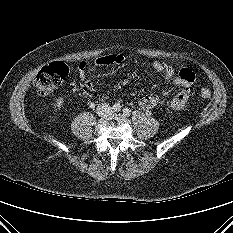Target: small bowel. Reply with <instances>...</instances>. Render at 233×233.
<instances>
[{
	"label": "small bowel",
	"instance_id": "1",
	"mask_svg": "<svg viewBox=\"0 0 233 233\" xmlns=\"http://www.w3.org/2000/svg\"><path fill=\"white\" fill-rule=\"evenodd\" d=\"M125 59L126 57L123 54L115 53L99 57L92 64L83 62L79 66L81 76L84 78L87 71H92L96 67L111 64H121L125 61ZM152 68L156 73L161 74L165 81L179 85L182 87V89L172 99L166 102H163L158 97V95L154 93L148 94L140 100V108L146 112H150L161 104L170 110H179L182 108L188 99L189 87L195 78L194 76L193 79H188L185 74H193V72L187 68H181L178 71H175L171 66H168L167 64L160 61H154L152 63ZM85 87L92 91L95 88V84L90 78H87L85 80Z\"/></svg>",
	"mask_w": 233,
	"mask_h": 233
}]
</instances>
